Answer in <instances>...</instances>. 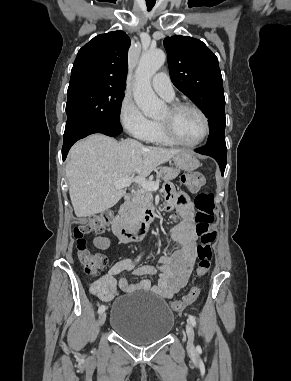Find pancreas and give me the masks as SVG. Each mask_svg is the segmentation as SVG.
Masks as SVG:
<instances>
[{"instance_id":"pancreas-1","label":"pancreas","mask_w":291,"mask_h":381,"mask_svg":"<svg viewBox=\"0 0 291 381\" xmlns=\"http://www.w3.org/2000/svg\"><path fill=\"white\" fill-rule=\"evenodd\" d=\"M178 174V169L164 167L157 172V178H162L165 182H168L176 178ZM152 199L153 194L150 190L141 188L135 193L133 200L127 207L126 220L129 225L135 227L144 219L145 210L150 205Z\"/></svg>"}]
</instances>
